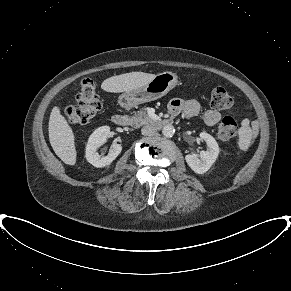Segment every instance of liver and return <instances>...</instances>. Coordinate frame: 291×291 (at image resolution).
Listing matches in <instances>:
<instances>
[{"label":"liver","mask_w":291,"mask_h":291,"mask_svg":"<svg viewBox=\"0 0 291 291\" xmlns=\"http://www.w3.org/2000/svg\"><path fill=\"white\" fill-rule=\"evenodd\" d=\"M156 75L144 72H130L105 79L101 88L106 92L132 91L150 82ZM49 141L56 155L67 165H75L77 152L74 133L60 108L52 109L48 125Z\"/></svg>","instance_id":"1"}]
</instances>
